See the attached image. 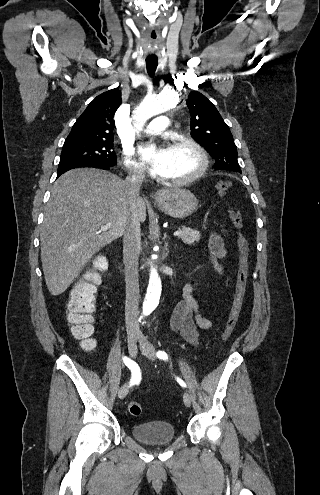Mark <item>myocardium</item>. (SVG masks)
Returning a JSON list of instances; mask_svg holds the SVG:
<instances>
[{
	"mask_svg": "<svg viewBox=\"0 0 320 495\" xmlns=\"http://www.w3.org/2000/svg\"><path fill=\"white\" fill-rule=\"evenodd\" d=\"M182 145L189 147L191 150H193L196 153L199 164H198V168L193 173L182 179H177V180L166 179L167 182L176 186H184L195 182L201 176L204 175L209 164L208 155L205 149L198 142H196L195 140L189 137L172 138L170 140L168 148H173Z\"/></svg>",
	"mask_w": 320,
	"mask_h": 495,
	"instance_id": "myocardium-1",
	"label": "myocardium"
}]
</instances>
